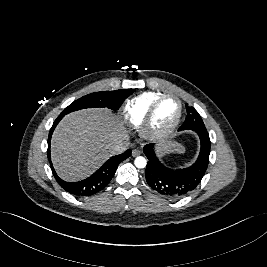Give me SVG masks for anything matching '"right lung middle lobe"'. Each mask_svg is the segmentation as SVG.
Listing matches in <instances>:
<instances>
[{"mask_svg": "<svg viewBox=\"0 0 267 267\" xmlns=\"http://www.w3.org/2000/svg\"><path fill=\"white\" fill-rule=\"evenodd\" d=\"M132 93L133 89H120L88 94L71 103L63 110L58 118L62 119L66 114L84 108L108 107L116 111L122 105L123 101Z\"/></svg>", "mask_w": 267, "mask_h": 267, "instance_id": "obj_1", "label": "right lung middle lobe"}]
</instances>
